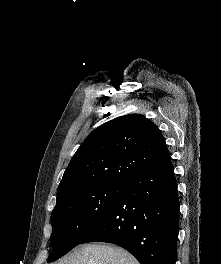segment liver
<instances>
[{
  "mask_svg": "<svg viewBox=\"0 0 221 264\" xmlns=\"http://www.w3.org/2000/svg\"><path fill=\"white\" fill-rule=\"evenodd\" d=\"M55 264H139L124 249L101 244H87L75 249Z\"/></svg>",
  "mask_w": 221,
  "mask_h": 264,
  "instance_id": "obj_1",
  "label": "liver"
}]
</instances>
